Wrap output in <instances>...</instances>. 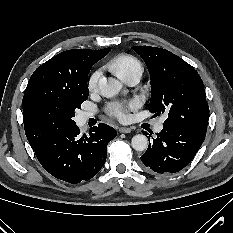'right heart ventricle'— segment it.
<instances>
[{
	"label": "right heart ventricle",
	"instance_id": "right-heart-ventricle-1",
	"mask_svg": "<svg viewBox=\"0 0 233 233\" xmlns=\"http://www.w3.org/2000/svg\"><path fill=\"white\" fill-rule=\"evenodd\" d=\"M108 68L113 71L120 79L126 75L134 72L141 71L142 66L140 62L132 55L120 54L115 56L108 64Z\"/></svg>",
	"mask_w": 233,
	"mask_h": 233
}]
</instances>
